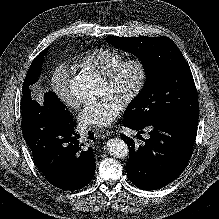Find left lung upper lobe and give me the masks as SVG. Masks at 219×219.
<instances>
[{
  "mask_svg": "<svg viewBox=\"0 0 219 219\" xmlns=\"http://www.w3.org/2000/svg\"><path fill=\"white\" fill-rule=\"evenodd\" d=\"M106 40L139 57L147 73L144 87L128 105L124 119L145 124L198 114L190 67L170 38L109 36Z\"/></svg>",
  "mask_w": 219,
  "mask_h": 219,
  "instance_id": "1",
  "label": "left lung upper lobe"
}]
</instances>
